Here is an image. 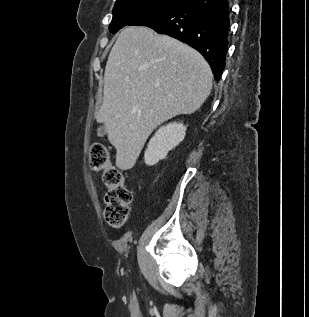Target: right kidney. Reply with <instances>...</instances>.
Wrapping results in <instances>:
<instances>
[{"instance_id":"1","label":"right kidney","mask_w":309,"mask_h":317,"mask_svg":"<svg viewBox=\"0 0 309 317\" xmlns=\"http://www.w3.org/2000/svg\"><path fill=\"white\" fill-rule=\"evenodd\" d=\"M186 126L183 123L172 122L160 127L150 139L144 154L146 165L153 166L165 159L168 152L179 145L186 135Z\"/></svg>"}]
</instances>
